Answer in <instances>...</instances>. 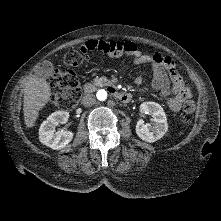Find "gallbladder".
Wrapping results in <instances>:
<instances>
[{
	"label": "gallbladder",
	"mask_w": 221,
	"mask_h": 221,
	"mask_svg": "<svg viewBox=\"0 0 221 221\" xmlns=\"http://www.w3.org/2000/svg\"><path fill=\"white\" fill-rule=\"evenodd\" d=\"M52 71L50 67H46L44 69H39L35 72V76L39 79H47L51 76Z\"/></svg>",
	"instance_id": "1"
}]
</instances>
